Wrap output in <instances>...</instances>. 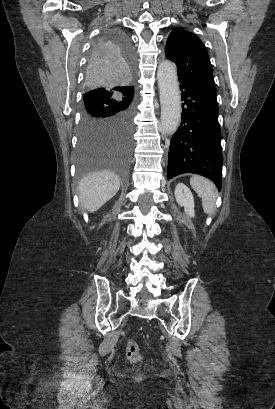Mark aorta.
<instances>
[{
  "instance_id": "obj_1",
  "label": "aorta",
  "mask_w": 275,
  "mask_h": 409,
  "mask_svg": "<svg viewBox=\"0 0 275 409\" xmlns=\"http://www.w3.org/2000/svg\"><path fill=\"white\" fill-rule=\"evenodd\" d=\"M161 102V132L174 134L181 120V98L177 68L171 60H162L157 70Z\"/></svg>"
}]
</instances>
